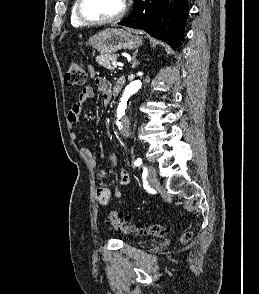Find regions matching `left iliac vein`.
Listing matches in <instances>:
<instances>
[{"label": "left iliac vein", "mask_w": 259, "mask_h": 294, "mask_svg": "<svg viewBox=\"0 0 259 294\" xmlns=\"http://www.w3.org/2000/svg\"><path fill=\"white\" fill-rule=\"evenodd\" d=\"M147 179L150 183H153L156 181V169L153 166L148 167Z\"/></svg>", "instance_id": "obj_1"}]
</instances>
